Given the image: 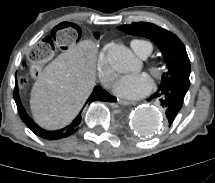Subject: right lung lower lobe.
I'll use <instances>...</instances> for the list:
<instances>
[{"mask_svg": "<svg viewBox=\"0 0 215 183\" xmlns=\"http://www.w3.org/2000/svg\"><path fill=\"white\" fill-rule=\"evenodd\" d=\"M79 32V31H78ZM81 36V34H80ZM17 80V79H16ZM14 99L19 111V115L23 122L30 128L36 135L48 140H57L61 138L68 137L72 135L77 129L82 119V111L78 116L72 121V123L65 128L56 131H47L39 127L26 113L19 97L18 84L16 81L15 90H14ZM94 101H106V102H115L116 98L111 96L106 92L102 87L95 86L93 92L86 101V104H90Z\"/></svg>", "mask_w": 215, "mask_h": 183, "instance_id": "98d812e1", "label": "right lung lower lobe"}]
</instances>
